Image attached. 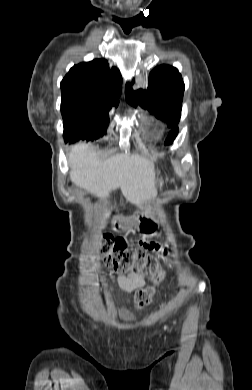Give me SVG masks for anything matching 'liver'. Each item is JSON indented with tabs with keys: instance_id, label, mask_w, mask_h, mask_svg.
<instances>
[{
	"instance_id": "obj_1",
	"label": "liver",
	"mask_w": 252,
	"mask_h": 390,
	"mask_svg": "<svg viewBox=\"0 0 252 390\" xmlns=\"http://www.w3.org/2000/svg\"><path fill=\"white\" fill-rule=\"evenodd\" d=\"M68 162L71 181L102 199L118 187L132 201L149 198L154 193L152 164L138 153L117 154L102 160L92 144H78L70 148ZM109 215L105 214L102 227Z\"/></svg>"
}]
</instances>
